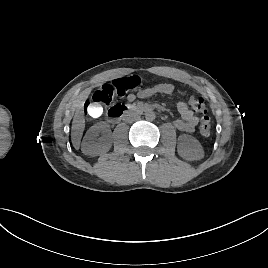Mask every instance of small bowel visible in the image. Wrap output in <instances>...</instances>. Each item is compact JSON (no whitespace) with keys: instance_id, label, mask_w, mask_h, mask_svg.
I'll list each match as a JSON object with an SVG mask.
<instances>
[{"instance_id":"c3829d8e","label":"small bowel","mask_w":268,"mask_h":268,"mask_svg":"<svg viewBox=\"0 0 268 268\" xmlns=\"http://www.w3.org/2000/svg\"><path fill=\"white\" fill-rule=\"evenodd\" d=\"M175 89L176 87L173 84L160 83L152 87L140 89L136 93L129 94L127 96V100L129 102H133L136 99L152 98L157 95H170L175 91ZM176 107L180 114V118L173 122L174 127L181 132H193L199 122L198 117L183 100H179Z\"/></svg>"}]
</instances>
